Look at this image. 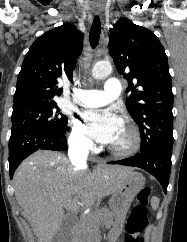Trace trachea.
I'll list each match as a JSON object with an SVG mask.
<instances>
[{
  "instance_id": "3493384b",
  "label": "trachea",
  "mask_w": 187,
  "mask_h": 242,
  "mask_svg": "<svg viewBox=\"0 0 187 242\" xmlns=\"http://www.w3.org/2000/svg\"><path fill=\"white\" fill-rule=\"evenodd\" d=\"M101 33V22L98 16L94 18L93 24L89 32V41L92 48L98 45L99 37Z\"/></svg>"
}]
</instances>
